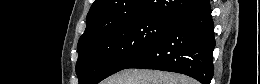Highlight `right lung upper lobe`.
<instances>
[{"instance_id":"obj_1","label":"right lung upper lobe","mask_w":260,"mask_h":84,"mask_svg":"<svg viewBox=\"0 0 260 84\" xmlns=\"http://www.w3.org/2000/svg\"><path fill=\"white\" fill-rule=\"evenodd\" d=\"M203 0H95L87 15V27L78 46L101 36L119 23L145 17L173 20Z\"/></svg>"}]
</instances>
